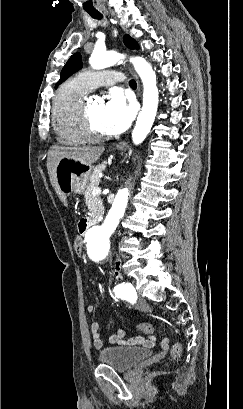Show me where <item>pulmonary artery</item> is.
<instances>
[{
    "label": "pulmonary artery",
    "instance_id": "1",
    "mask_svg": "<svg viewBox=\"0 0 243 409\" xmlns=\"http://www.w3.org/2000/svg\"><path fill=\"white\" fill-rule=\"evenodd\" d=\"M79 77L90 90L99 86H112L122 81L121 74L113 70L82 72Z\"/></svg>",
    "mask_w": 243,
    "mask_h": 409
}]
</instances>
